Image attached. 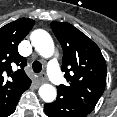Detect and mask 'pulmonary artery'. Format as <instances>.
<instances>
[{
    "instance_id": "1",
    "label": "pulmonary artery",
    "mask_w": 117,
    "mask_h": 117,
    "mask_svg": "<svg viewBox=\"0 0 117 117\" xmlns=\"http://www.w3.org/2000/svg\"><path fill=\"white\" fill-rule=\"evenodd\" d=\"M48 74L51 81L55 85H60L62 83V75L58 66V62L56 58H53L48 63Z\"/></svg>"
}]
</instances>
